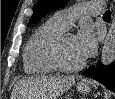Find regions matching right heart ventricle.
<instances>
[{"label":"right heart ventricle","instance_id":"right-heart-ventricle-1","mask_svg":"<svg viewBox=\"0 0 115 99\" xmlns=\"http://www.w3.org/2000/svg\"><path fill=\"white\" fill-rule=\"evenodd\" d=\"M65 30L51 19L34 30L23 51V66L27 74L42 76L57 71L49 59L48 50L52 41Z\"/></svg>","mask_w":115,"mask_h":99}]
</instances>
